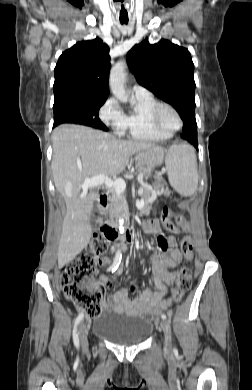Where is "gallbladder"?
<instances>
[{"label": "gallbladder", "instance_id": "bac80fb5", "mask_svg": "<svg viewBox=\"0 0 252 390\" xmlns=\"http://www.w3.org/2000/svg\"><path fill=\"white\" fill-rule=\"evenodd\" d=\"M94 211H95V213L91 216L90 224H91L92 230H97L99 227V222H98L99 216L97 214V210L95 209Z\"/></svg>", "mask_w": 252, "mask_h": 390}]
</instances>
